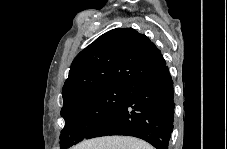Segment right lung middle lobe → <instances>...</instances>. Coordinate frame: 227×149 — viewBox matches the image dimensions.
I'll use <instances>...</instances> for the list:
<instances>
[{"instance_id": "dd1d6c3e", "label": "right lung middle lobe", "mask_w": 227, "mask_h": 149, "mask_svg": "<svg viewBox=\"0 0 227 149\" xmlns=\"http://www.w3.org/2000/svg\"><path fill=\"white\" fill-rule=\"evenodd\" d=\"M131 87L114 84L92 90L61 110L65 126L61 131L60 148L68 149L87 139L108 119L130 94Z\"/></svg>"}]
</instances>
